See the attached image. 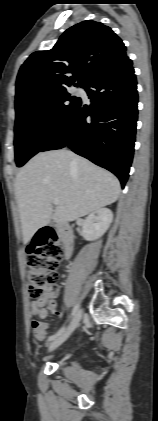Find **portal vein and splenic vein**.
<instances>
[{
	"mask_svg": "<svg viewBox=\"0 0 158 421\" xmlns=\"http://www.w3.org/2000/svg\"><path fill=\"white\" fill-rule=\"evenodd\" d=\"M53 204H54V205H56V206H58V205H59V200L55 199V200L53 201Z\"/></svg>",
	"mask_w": 158,
	"mask_h": 421,
	"instance_id": "18ae733b",
	"label": "portal vein and splenic vein"
}]
</instances>
